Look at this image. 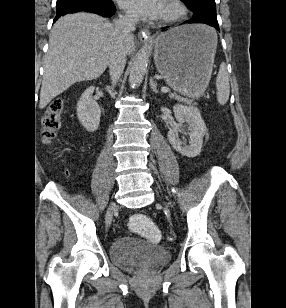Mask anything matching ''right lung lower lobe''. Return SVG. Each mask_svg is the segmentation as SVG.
Returning <instances> with one entry per match:
<instances>
[{
    "instance_id": "obj_1",
    "label": "right lung lower lobe",
    "mask_w": 286,
    "mask_h": 308,
    "mask_svg": "<svg viewBox=\"0 0 286 308\" xmlns=\"http://www.w3.org/2000/svg\"><path fill=\"white\" fill-rule=\"evenodd\" d=\"M115 6L111 0L108 2L100 1H78L66 3L57 6V14L54 22L62 15L68 13H75L80 11L92 12L104 17H110L115 13Z\"/></svg>"
}]
</instances>
